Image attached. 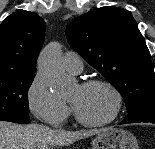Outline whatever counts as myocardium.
Instances as JSON below:
<instances>
[{
    "instance_id": "1",
    "label": "myocardium",
    "mask_w": 155,
    "mask_h": 149,
    "mask_svg": "<svg viewBox=\"0 0 155 149\" xmlns=\"http://www.w3.org/2000/svg\"><path fill=\"white\" fill-rule=\"evenodd\" d=\"M83 88H90V87H95V86H100L104 87L107 89L113 96L114 98V107L112 114L105 120L103 121H89L83 118L75 109V107L72 105V111L74 113L75 119L77 120L78 123L81 125L87 126V127H101V126H106L113 121H115L122 109V104H123V98L121 92L118 90V88L113 85L111 82L104 80V79H90L86 80L80 85Z\"/></svg>"
}]
</instances>
